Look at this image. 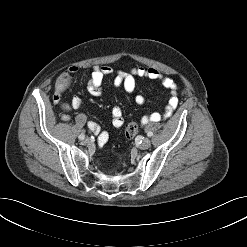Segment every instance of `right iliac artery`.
I'll use <instances>...</instances> for the list:
<instances>
[{
    "instance_id": "obj_1",
    "label": "right iliac artery",
    "mask_w": 247,
    "mask_h": 247,
    "mask_svg": "<svg viewBox=\"0 0 247 247\" xmlns=\"http://www.w3.org/2000/svg\"><path fill=\"white\" fill-rule=\"evenodd\" d=\"M80 140H83L85 138V134H80L79 137H78Z\"/></svg>"
}]
</instances>
